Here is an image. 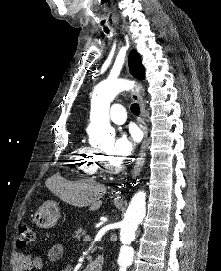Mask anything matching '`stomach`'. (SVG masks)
<instances>
[{
	"instance_id": "0dacf381",
	"label": "stomach",
	"mask_w": 221,
	"mask_h": 271,
	"mask_svg": "<svg viewBox=\"0 0 221 271\" xmlns=\"http://www.w3.org/2000/svg\"><path fill=\"white\" fill-rule=\"evenodd\" d=\"M60 215L58 203L56 201H45L41 207L36 209L33 221L38 227H53Z\"/></svg>"
}]
</instances>
